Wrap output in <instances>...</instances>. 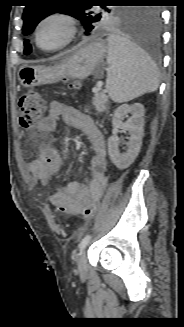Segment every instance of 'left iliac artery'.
<instances>
[{"mask_svg": "<svg viewBox=\"0 0 184 327\" xmlns=\"http://www.w3.org/2000/svg\"><path fill=\"white\" fill-rule=\"evenodd\" d=\"M90 239H91V235H86V236L81 240V242H80V244H79V248H80V250H83V249L87 246V244L89 243Z\"/></svg>", "mask_w": 184, "mask_h": 327, "instance_id": "44dca946", "label": "left iliac artery"}]
</instances>
